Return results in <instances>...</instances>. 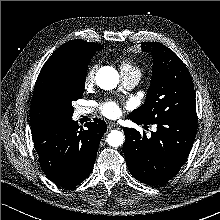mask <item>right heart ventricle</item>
I'll return each mask as SVG.
<instances>
[{"instance_id":"1","label":"right heart ventricle","mask_w":220,"mask_h":220,"mask_svg":"<svg viewBox=\"0 0 220 220\" xmlns=\"http://www.w3.org/2000/svg\"><path fill=\"white\" fill-rule=\"evenodd\" d=\"M122 74H140V69L126 58L119 60Z\"/></svg>"}]
</instances>
